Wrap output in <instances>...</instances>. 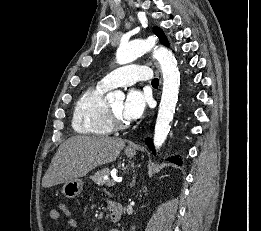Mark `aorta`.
<instances>
[{"mask_svg":"<svg viewBox=\"0 0 261 231\" xmlns=\"http://www.w3.org/2000/svg\"><path fill=\"white\" fill-rule=\"evenodd\" d=\"M152 48L153 46L144 40L121 43L117 49L116 61L121 65L130 63ZM153 57L159 62L163 74V91L154 131V145L159 149L170 131V123L178 100L180 74L177 61L168 49L155 47ZM106 97L109 101L124 100L125 95L122 91H114L108 93Z\"/></svg>","mask_w":261,"mask_h":231,"instance_id":"762f6f07","label":"aorta"}]
</instances>
